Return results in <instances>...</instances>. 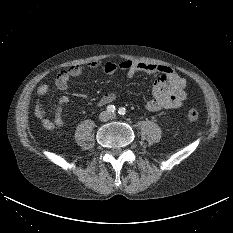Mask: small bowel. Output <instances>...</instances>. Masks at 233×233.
<instances>
[{
    "label": "small bowel",
    "instance_id": "c3829d8e",
    "mask_svg": "<svg viewBox=\"0 0 233 233\" xmlns=\"http://www.w3.org/2000/svg\"><path fill=\"white\" fill-rule=\"evenodd\" d=\"M86 68L99 70L108 74L116 71H123L126 72L128 76H132L136 73L159 74L153 85L151 96L145 103L146 109L149 111L179 108L187 98V93L185 91L186 80L169 66L123 60L120 62L94 61L88 63ZM84 70L85 67L74 65L67 70L61 71L56 77V87L59 90L67 89L70 80L72 78L80 77L84 73ZM49 90L50 87L47 84H42L38 87L35 116L44 128L54 129L64 125L62 113L64 107L69 102V98L67 96H61L58 99L54 111V118L49 119L45 111V97L49 93ZM116 97V92H108L98 100L97 105L104 106L109 104L113 102Z\"/></svg>",
    "mask_w": 233,
    "mask_h": 233
}]
</instances>
